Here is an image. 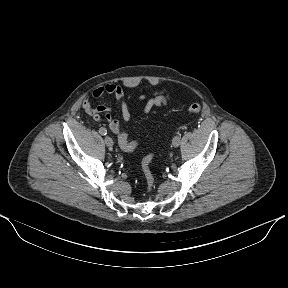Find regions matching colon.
Returning a JSON list of instances; mask_svg holds the SVG:
<instances>
[{
  "label": "colon",
  "instance_id": "obj_1",
  "mask_svg": "<svg viewBox=\"0 0 288 288\" xmlns=\"http://www.w3.org/2000/svg\"><path fill=\"white\" fill-rule=\"evenodd\" d=\"M201 111V106L197 103H194L189 106L188 112L191 115H197ZM120 146L126 151H133L137 147V142L130 141L127 137V134L124 133L118 138ZM155 156L153 154L146 156L142 161V171L147 183V187L151 190L154 186L155 179L151 171V163L154 160Z\"/></svg>",
  "mask_w": 288,
  "mask_h": 288
}]
</instances>
